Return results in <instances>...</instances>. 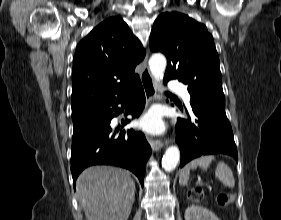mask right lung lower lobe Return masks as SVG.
<instances>
[{"label": "right lung lower lobe", "instance_id": "1", "mask_svg": "<svg viewBox=\"0 0 281 220\" xmlns=\"http://www.w3.org/2000/svg\"><path fill=\"white\" fill-rule=\"evenodd\" d=\"M126 107V115L139 117L145 106V94L139 81L127 94L73 118L71 172L74 186L79 174L92 165H114L129 169L143 186L146 162L151 147L144 134L113 129L110 122L119 114L118 105ZM122 112V111H120ZM129 123L125 121L123 125Z\"/></svg>", "mask_w": 281, "mask_h": 220}]
</instances>
